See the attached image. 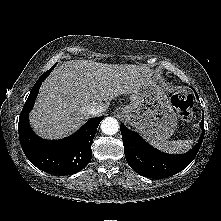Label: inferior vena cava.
Wrapping results in <instances>:
<instances>
[{"instance_id": "602c4592", "label": "inferior vena cava", "mask_w": 221, "mask_h": 221, "mask_svg": "<svg viewBox=\"0 0 221 221\" xmlns=\"http://www.w3.org/2000/svg\"><path fill=\"white\" fill-rule=\"evenodd\" d=\"M102 111H103V108H102L101 106H96V105L91 106V107L87 110V112H88L89 114H91V115H97V114L101 113Z\"/></svg>"}]
</instances>
